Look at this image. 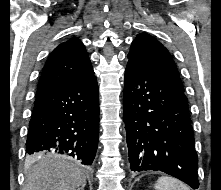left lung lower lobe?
Instances as JSON below:
<instances>
[{"instance_id":"obj_1","label":"left lung lower lobe","mask_w":221,"mask_h":190,"mask_svg":"<svg viewBox=\"0 0 221 190\" xmlns=\"http://www.w3.org/2000/svg\"><path fill=\"white\" fill-rule=\"evenodd\" d=\"M123 113L130 169L162 171L197 189L198 157L185 92L128 61Z\"/></svg>"}]
</instances>
